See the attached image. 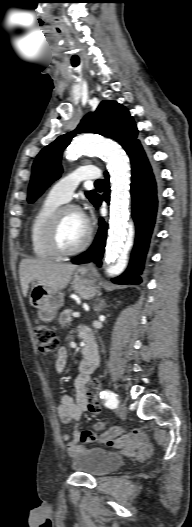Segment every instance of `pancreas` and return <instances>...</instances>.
<instances>
[{
    "label": "pancreas",
    "mask_w": 192,
    "mask_h": 527,
    "mask_svg": "<svg viewBox=\"0 0 192 527\" xmlns=\"http://www.w3.org/2000/svg\"><path fill=\"white\" fill-rule=\"evenodd\" d=\"M71 314H72V310L71 309H65L60 314L59 323L61 324V326H65V325L69 324L72 321Z\"/></svg>",
    "instance_id": "cf45deb5"
}]
</instances>
